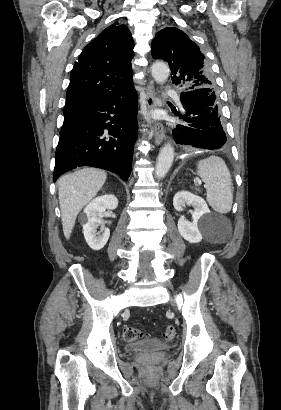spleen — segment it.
I'll list each match as a JSON object with an SVG mask.
<instances>
[{
	"label": "spleen",
	"mask_w": 281,
	"mask_h": 410,
	"mask_svg": "<svg viewBox=\"0 0 281 410\" xmlns=\"http://www.w3.org/2000/svg\"><path fill=\"white\" fill-rule=\"evenodd\" d=\"M197 174L205 183L209 205L219 213L230 212L233 204V186L230 171L224 160L214 155L199 160Z\"/></svg>",
	"instance_id": "3e777b00"
}]
</instances>
